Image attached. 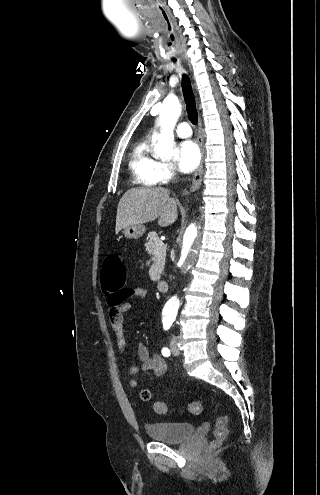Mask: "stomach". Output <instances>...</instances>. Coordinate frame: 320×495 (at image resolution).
<instances>
[{"label": "stomach", "instance_id": "1", "mask_svg": "<svg viewBox=\"0 0 320 495\" xmlns=\"http://www.w3.org/2000/svg\"><path fill=\"white\" fill-rule=\"evenodd\" d=\"M145 226L141 224L129 225L124 228L123 234L126 238L138 239L145 233Z\"/></svg>", "mask_w": 320, "mask_h": 495}]
</instances>
